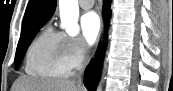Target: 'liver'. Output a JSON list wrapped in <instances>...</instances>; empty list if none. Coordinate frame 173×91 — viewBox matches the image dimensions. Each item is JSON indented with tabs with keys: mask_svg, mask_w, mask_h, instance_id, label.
Returning <instances> with one entry per match:
<instances>
[{
	"mask_svg": "<svg viewBox=\"0 0 173 91\" xmlns=\"http://www.w3.org/2000/svg\"><path fill=\"white\" fill-rule=\"evenodd\" d=\"M82 89L70 80L21 76L15 81L12 91H84Z\"/></svg>",
	"mask_w": 173,
	"mask_h": 91,
	"instance_id": "obj_1",
	"label": "liver"
}]
</instances>
